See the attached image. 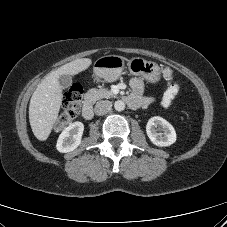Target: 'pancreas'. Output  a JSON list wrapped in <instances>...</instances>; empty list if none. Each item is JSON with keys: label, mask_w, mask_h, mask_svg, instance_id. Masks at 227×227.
Returning a JSON list of instances; mask_svg holds the SVG:
<instances>
[{"label": "pancreas", "mask_w": 227, "mask_h": 227, "mask_svg": "<svg viewBox=\"0 0 227 227\" xmlns=\"http://www.w3.org/2000/svg\"><path fill=\"white\" fill-rule=\"evenodd\" d=\"M111 97H115V95L110 90L104 88L100 89L92 88L88 90L85 94L86 100L89 101L90 103H95L101 99Z\"/></svg>", "instance_id": "1"}]
</instances>
